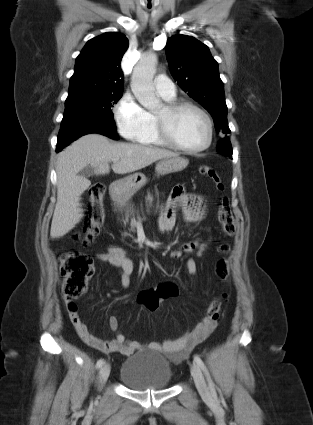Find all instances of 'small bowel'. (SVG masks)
<instances>
[{
	"instance_id": "small-bowel-1",
	"label": "small bowel",
	"mask_w": 313,
	"mask_h": 425,
	"mask_svg": "<svg viewBox=\"0 0 313 425\" xmlns=\"http://www.w3.org/2000/svg\"><path fill=\"white\" fill-rule=\"evenodd\" d=\"M177 208L181 209L185 221L190 223L199 222L205 217L202 197L186 192L185 187L179 184L172 189L166 210L158 221L160 232L169 233L173 229ZM202 246L203 244L198 240L186 242L179 249L173 250L170 256L173 259H178L184 253H193ZM96 258L98 261L108 263L117 269L123 287L130 285L133 264L123 248L114 245L109 246L107 252L97 254ZM186 266L191 275L197 274V264L193 258L187 260ZM67 307L73 326L87 345L106 354L118 352L126 356L141 348L138 342L127 340L119 332V321L115 316L109 318V326L112 331L116 332V337L112 340H103L90 332L87 324L81 320L77 306L72 300H67ZM215 325L216 323L206 316L180 338L167 340L163 343L152 342L149 347L164 352L173 360H179L188 356L194 347L203 342L213 331Z\"/></svg>"
}]
</instances>
